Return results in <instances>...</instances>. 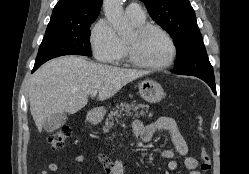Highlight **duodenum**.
<instances>
[{"mask_svg":"<svg viewBox=\"0 0 249 174\" xmlns=\"http://www.w3.org/2000/svg\"><path fill=\"white\" fill-rule=\"evenodd\" d=\"M89 120H90L91 123H95L97 121L95 114H91L89 116Z\"/></svg>","mask_w":249,"mask_h":174,"instance_id":"obj_1","label":"duodenum"}]
</instances>
